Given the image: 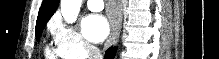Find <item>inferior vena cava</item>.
I'll return each instance as SVG.
<instances>
[{"mask_svg": "<svg viewBox=\"0 0 219 59\" xmlns=\"http://www.w3.org/2000/svg\"><path fill=\"white\" fill-rule=\"evenodd\" d=\"M87 49H88V55H89L88 59H102V54L99 48H97L94 45L89 44Z\"/></svg>", "mask_w": 219, "mask_h": 59, "instance_id": "obj_1", "label": "inferior vena cava"}]
</instances>
